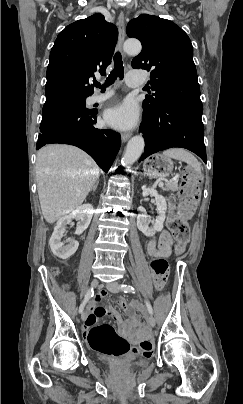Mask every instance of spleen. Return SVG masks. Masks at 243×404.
Here are the masks:
<instances>
[{
	"label": "spleen",
	"instance_id": "3e777b00",
	"mask_svg": "<svg viewBox=\"0 0 243 404\" xmlns=\"http://www.w3.org/2000/svg\"><path fill=\"white\" fill-rule=\"evenodd\" d=\"M163 156H166V158H173V160H181V162H186V164H189V166H192L194 168L195 172H200V164L192 154H189V152H186L184 148H171V150H166V152H163Z\"/></svg>",
	"mask_w": 243,
	"mask_h": 404
}]
</instances>
